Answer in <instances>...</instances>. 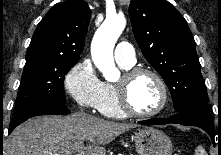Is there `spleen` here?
I'll list each match as a JSON object with an SVG mask.
<instances>
[{
  "label": "spleen",
  "mask_w": 221,
  "mask_h": 155,
  "mask_svg": "<svg viewBox=\"0 0 221 155\" xmlns=\"http://www.w3.org/2000/svg\"><path fill=\"white\" fill-rule=\"evenodd\" d=\"M195 155H207V153L202 146H198L195 150Z\"/></svg>",
  "instance_id": "3e777b00"
}]
</instances>
